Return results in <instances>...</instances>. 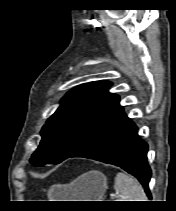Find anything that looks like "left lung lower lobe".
<instances>
[{
    "label": "left lung lower lobe",
    "instance_id": "obj_1",
    "mask_svg": "<svg viewBox=\"0 0 176 211\" xmlns=\"http://www.w3.org/2000/svg\"><path fill=\"white\" fill-rule=\"evenodd\" d=\"M148 145L137 133V126L124 111L97 130L70 157H84L121 167L135 176L149 198L151 169L147 163Z\"/></svg>",
    "mask_w": 176,
    "mask_h": 211
}]
</instances>
